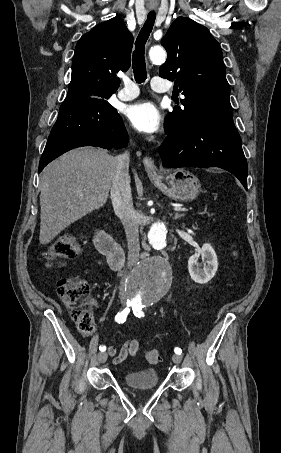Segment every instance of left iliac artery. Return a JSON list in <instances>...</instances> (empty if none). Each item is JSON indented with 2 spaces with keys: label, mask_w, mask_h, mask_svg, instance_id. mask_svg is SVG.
<instances>
[{
  "label": "left iliac artery",
  "mask_w": 281,
  "mask_h": 453,
  "mask_svg": "<svg viewBox=\"0 0 281 453\" xmlns=\"http://www.w3.org/2000/svg\"><path fill=\"white\" fill-rule=\"evenodd\" d=\"M132 308H133V313H134V315L136 317H139V318L141 316L144 317V313L141 311L142 308H143V306L141 304H134L132 306ZM174 351H175L176 354H179V355L182 353V350L180 348H178V347H176Z\"/></svg>",
  "instance_id": "left-iliac-artery-1"
}]
</instances>
